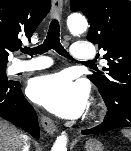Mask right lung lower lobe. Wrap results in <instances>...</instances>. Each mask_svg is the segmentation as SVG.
Listing matches in <instances>:
<instances>
[{
	"label": "right lung lower lobe",
	"mask_w": 131,
	"mask_h": 151,
	"mask_svg": "<svg viewBox=\"0 0 131 151\" xmlns=\"http://www.w3.org/2000/svg\"><path fill=\"white\" fill-rule=\"evenodd\" d=\"M0 117L18 123L34 138H39L36 112L25 99L19 81H0Z\"/></svg>",
	"instance_id": "right-lung-lower-lobe-1"
}]
</instances>
